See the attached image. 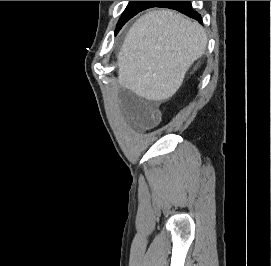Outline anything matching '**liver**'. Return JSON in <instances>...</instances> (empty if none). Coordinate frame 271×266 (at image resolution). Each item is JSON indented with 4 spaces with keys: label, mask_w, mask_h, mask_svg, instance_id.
I'll return each mask as SVG.
<instances>
[{
    "label": "liver",
    "mask_w": 271,
    "mask_h": 266,
    "mask_svg": "<svg viewBox=\"0 0 271 266\" xmlns=\"http://www.w3.org/2000/svg\"><path fill=\"white\" fill-rule=\"evenodd\" d=\"M206 47L198 22L171 10L149 11L126 35L118 55V83L147 100H167Z\"/></svg>",
    "instance_id": "obj_1"
}]
</instances>
